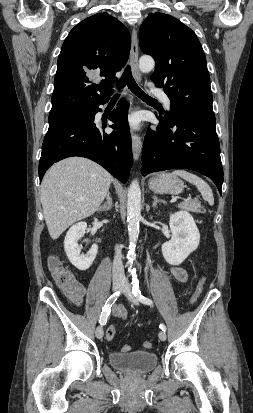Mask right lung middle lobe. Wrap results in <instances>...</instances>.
<instances>
[{"mask_svg": "<svg viewBox=\"0 0 253 413\" xmlns=\"http://www.w3.org/2000/svg\"><path fill=\"white\" fill-rule=\"evenodd\" d=\"M88 115L87 109L86 110H81L69 114H64V115H59V116H53L49 117L48 122H49V128L53 126H57L60 124L68 123L71 121H75L81 118H84V116Z\"/></svg>", "mask_w": 253, "mask_h": 413, "instance_id": "dd1d6c3e", "label": "right lung middle lobe"}]
</instances>
